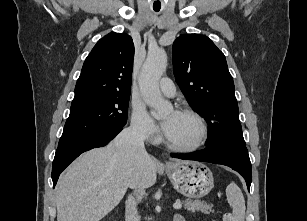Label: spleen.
I'll return each instance as SVG.
<instances>
[{
    "label": "spleen",
    "mask_w": 307,
    "mask_h": 221,
    "mask_svg": "<svg viewBox=\"0 0 307 221\" xmlns=\"http://www.w3.org/2000/svg\"><path fill=\"white\" fill-rule=\"evenodd\" d=\"M227 201L232 206L235 221H245V199L241 189L232 182L226 188Z\"/></svg>",
    "instance_id": "3e777b00"
}]
</instances>
